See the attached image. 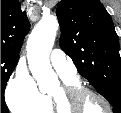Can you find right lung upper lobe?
Instances as JSON below:
<instances>
[{
    "label": "right lung upper lobe",
    "instance_id": "1",
    "mask_svg": "<svg viewBox=\"0 0 121 113\" xmlns=\"http://www.w3.org/2000/svg\"><path fill=\"white\" fill-rule=\"evenodd\" d=\"M30 24L17 0H1V54L19 57Z\"/></svg>",
    "mask_w": 121,
    "mask_h": 113
}]
</instances>
